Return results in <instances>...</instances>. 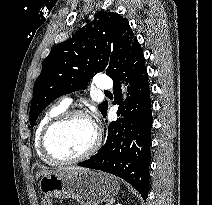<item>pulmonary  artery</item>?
I'll use <instances>...</instances> for the list:
<instances>
[{
    "mask_svg": "<svg viewBox=\"0 0 212 205\" xmlns=\"http://www.w3.org/2000/svg\"><path fill=\"white\" fill-rule=\"evenodd\" d=\"M96 86L100 90L108 91L112 88V81L106 76H101L96 81ZM72 102L70 95H66L62 98L61 103L68 106Z\"/></svg>",
    "mask_w": 212,
    "mask_h": 205,
    "instance_id": "pulmonary-artery-1",
    "label": "pulmonary artery"
}]
</instances>
